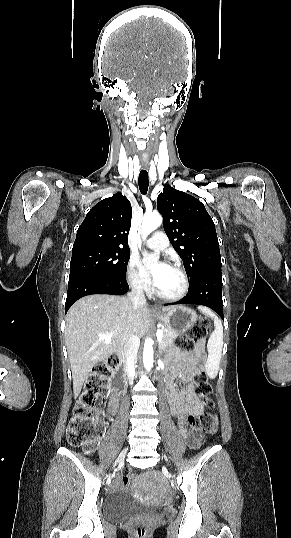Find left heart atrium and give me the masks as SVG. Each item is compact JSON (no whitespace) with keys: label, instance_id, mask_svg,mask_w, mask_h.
Returning <instances> with one entry per match:
<instances>
[{"label":"left heart atrium","instance_id":"1","mask_svg":"<svg viewBox=\"0 0 291 538\" xmlns=\"http://www.w3.org/2000/svg\"><path fill=\"white\" fill-rule=\"evenodd\" d=\"M169 268L165 262H161L155 267L149 266L148 258H144L141 263V270L145 277H147L155 286L159 283L163 273Z\"/></svg>","mask_w":291,"mask_h":538}]
</instances>
